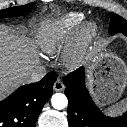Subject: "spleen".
Listing matches in <instances>:
<instances>
[{
    "mask_svg": "<svg viewBox=\"0 0 127 127\" xmlns=\"http://www.w3.org/2000/svg\"><path fill=\"white\" fill-rule=\"evenodd\" d=\"M124 108H127V98L119 103H116L108 108V112L116 114L121 112Z\"/></svg>",
    "mask_w": 127,
    "mask_h": 127,
    "instance_id": "1",
    "label": "spleen"
}]
</instances>
